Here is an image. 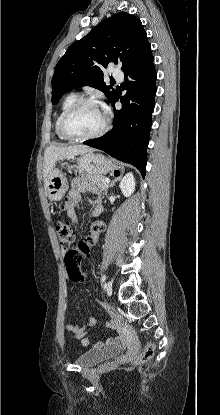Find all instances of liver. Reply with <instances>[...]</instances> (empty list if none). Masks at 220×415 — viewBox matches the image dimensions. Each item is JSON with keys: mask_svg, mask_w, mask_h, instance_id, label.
<instances>
[{"mask_svg": "<svg viewBox=\"0 0 220 415\" xmlns=\"http://www.w3.org/2000/svg\"><path fill=\"white\" fill-rule=\"evenodd\" d=\"M94 149L86 145H73V146H49L44 155V181L50 171L53 169L56 161L71 158L76 155L84 154L87 152H93Z\"/></svg>", "mask_w": 220, "mask_h": 415, "instance_id": "liver-1", "label": "liver"}]
</instances>
